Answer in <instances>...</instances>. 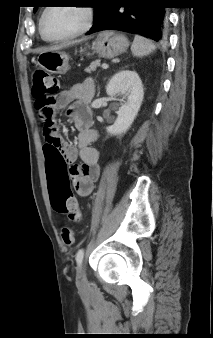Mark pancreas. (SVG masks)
Segmentation results:
<instances>
[{"instance_id": "obj_1", "label": "pancreas", "mask_w": 213, "mask_h": 338, "mask_svg": "<svg viewBox=\"0 0 213 338\" xmlns=\"http://www.w3.org/2000/svg\"><path fill=\"white\" fill-rule=\"evenodd\" d=\"M97 62H93V63H91V65L89 66V67H87L86 69H85V71L87 72V73H91L92 71H95L96 70V68H97Z\"/></svg>"}]
</instances>
